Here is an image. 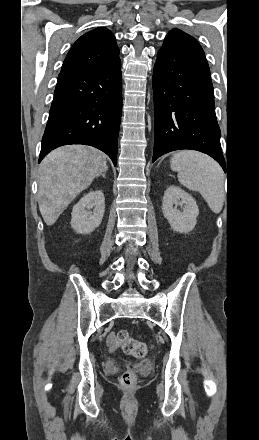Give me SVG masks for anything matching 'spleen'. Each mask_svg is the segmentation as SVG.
Instances as JSON below:
<instances>
[{
    "mask_svg": "<svg viewBox=\"0 0 259 440\" xmlns=\"http://www.w3.org/2000/svg\"><path fill=\"white\" fill-rule=\"evenodd\" d=\"M178 172L179 182L192 191H199L214 213L222 210L225 201L224 173L211 157L197 151H180L170 161Z\"/></svg>",
    "mask_w": 259,
    "mask_h": 440,
    "instance_id": "obj_1",
    "label": "spleen"
}]
</instances>
